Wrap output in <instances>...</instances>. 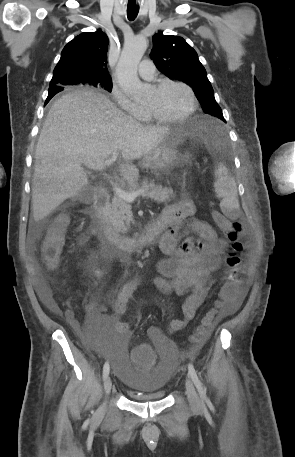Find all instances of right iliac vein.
<instances>
[{"label": "right iliac vein", "instance_id": "right-iliac-vein-1", "mask_svg": "<svg viewBox=\"0 0 295 457\" xmlns=\"http://www.w3.org/2000/svg\"><path fill=\"white\" fill-rule=\"evenodd\" d=\"M112 388V381L109 376L106 377L105 382H104V392L105 396H108ZM105 407V403L102 405L101 409L103 410Z\"/></svg>", "mask_w": 295, "mask_h": 457}]
</instances>
